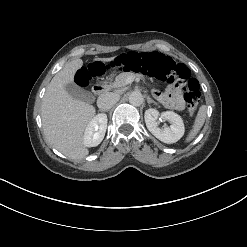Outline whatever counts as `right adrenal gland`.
Listing matches in <instances>:
<instances>
[{"label":"right adrenal gland","instance_id":"2a0ac1e0","mask_svg":"<svg viewBox=\"0 0 247 247\" xmlns=\"http://www.w3.org/2000/svg\"><path fill=\"white\" fill-rule=\"evenodd\" d=\"M99 111H100V112H107V110H101V109H100Z\"/></svg>","mask_w":247,"mask_h":247}]
</instances>
